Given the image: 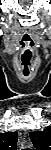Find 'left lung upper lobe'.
<instances>
[{"label": "left lung upper lobe", "instance_id": "1", "mask_svg": "<svg viewBox=\"0 0 51 150\" xmlns=\"http://www.w3.org/2000/svg\"><path fill=\"white\" fill-rule=\"evenodd\" d=\"M30 138L37 150H46L51 146V128L40 132H31Z\"/></svg>", "mask_w": 51, "mask_h": 150}]
</instances>
